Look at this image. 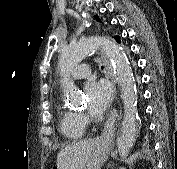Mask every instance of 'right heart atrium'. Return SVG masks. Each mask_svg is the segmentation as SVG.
Instances as JSON below:
<instances>
[{"mask_svg": "<svg viewBox=\"0 0 177 169\" xmlns=\"http://www.w3.org/2000/svg\"><path fill=\"white\" fill-rule=\"evenodd\" d=\"M80 119L83 123H86L87 122V118L85 116H80Z\"/></svg>", "mask_w": 177, "mask_h": 169, "instance_id": "1", "label": "right heart atrium"}]
</instances>
